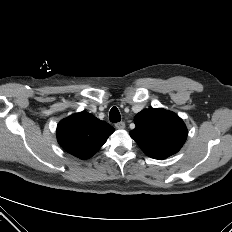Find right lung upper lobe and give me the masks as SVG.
<instances>
[{"label":"right lung upper lobe","instance_id":"right-lung-upper-lobe-1","mask_svg":"<svg viewBox=\"0 0 232 232\" xmlns=\"http://www.w3.org/2000/svg\"><path fill=\"white\" fill-rule=\"evenodd\" d=\"M114 132V128L90 113L80 112L63 119L57 127L59 144L80 158L92 157Z\"/></svg>","mask_w":232,"mask_h":232}]
</instances>
